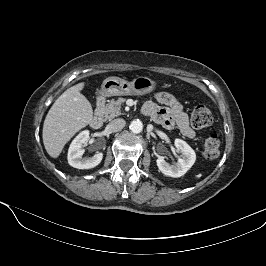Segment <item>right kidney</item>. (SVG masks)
Listing matches in <instances>:
<instances>
[{"instance_id": "right-kidney-1", "label": "right kidney", "mask_w": 266, "mask_h": 266, "mask_svg": "<svg viewBox=\"0 0 266 266\" xmlns=\"http://www.w3.org/2000/svg\"><path fill=\"white\" fill-rule=\"evenodd\" d=\"M89 140V131L84 130L79 133L72 141L68 150V163L77 169H90L96 167L103 159L101 152L92 157H82L84 149L82 148Z\"/></svg>"}]
</instances>
